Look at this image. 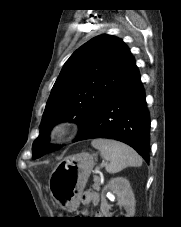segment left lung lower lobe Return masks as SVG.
Here are the masks:
<instances>
[{
  "label": "left lung lower lobe",
  "mask_w": 181,
  "mask_h": 227,
  "mask_svg": "<svg viewBox=\"0 0 181 227\" xmlns=\"http://www.w3.org/2000/svg\"><path fill=\"white\" fill-rule=\"evenodd\" d=\"M109 138L134 148L149 162L150 116L137 66L111 92L79 140Z\"/></svg>",
  "instance_id": "left-lung-lower-lobe-1"
}]
</instances>
